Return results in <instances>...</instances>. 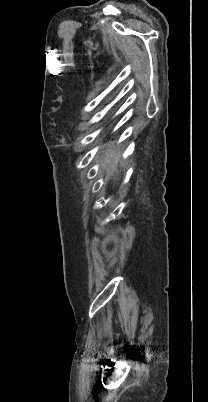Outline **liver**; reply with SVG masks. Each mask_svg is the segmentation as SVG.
Listing matches in <instances>:
<instances>
[{
    "label": "liver",
    "instance_id": "liver-1",
    "mask_svg": "<svg viewBox=\"0 0 208 402\" xmlns=\"http://www.w3.org/2000/svg\"><path fill=\"white\" fill-rule=\"evenodd\" d=\"M106 154H108V152H106ZM116 164H117V154L116 152H111V154H108V156H106L103 168H106L110 176H112L113 172H116Z\"/></svg>",
    "mask_w": 208,
    "mask_h": 402
}]
</instances>
